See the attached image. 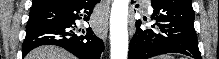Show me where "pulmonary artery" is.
Returning a JSON list of instances; mask_svg holds the SVG:
<instances>
[{
	"instance_id": "obj_1",
	"label": "pulmonary artery",
	"mask_w": 219,
	"mask_h": 59,
	"mask_svg": "<svg viewBox=\"0 0 219 59\" xmlns=\"http://www.w3.org/2000/svg\"><path fill=\"white\" fill-rule=\"evenodd\" d=\"M148 3H149L148 1H144V5L146 6L147 10H150Z\"/></svg>"
}]
</instances>
